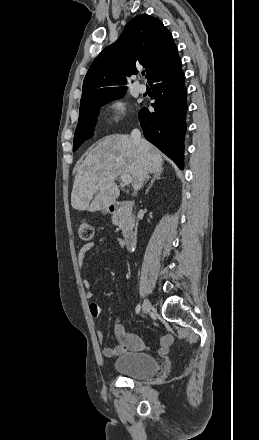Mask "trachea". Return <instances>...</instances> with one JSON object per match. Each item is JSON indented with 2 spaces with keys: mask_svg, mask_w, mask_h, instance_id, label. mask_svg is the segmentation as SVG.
Listing matches in <instances>:
<instances>
[{
  "mask_svg": "<svg viewBox=\"0 0 259 440\" xmlns=\"http://www.w3.org/2000/svg\"><path fill=\"white\" fill-rule=\"evenodd\" d=\"M144 74H145V71H142V75L144 76Z\"/></svg>",
  "mask_w": 259,
  "mask_h": 440,
  "instance_id": "1",
  "label": "trachea"
}]
</instances>
